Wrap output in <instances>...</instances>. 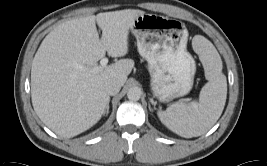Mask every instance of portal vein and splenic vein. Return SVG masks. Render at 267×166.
<instances>
[{"mask_svg":"<svg viewBox=\"0 0 267 166\" xmlns=\"http://www.w3.org/2000/svg\"><path fill=\"white\" fill-rule=\"evenodd\" d=\"M107 63H108V59L107 58H103L101 59L100 61V65L96 68L93 69V71H99V70H102L103 68H105L107 66ZM79 68H84L83 66H79Z\"/></svg>","mask_w":267,"mask_h":166,"instance_id":"portal-vein-and-splenic-vein-1","label":"portal vein and splenic vein"}]
</instances>
